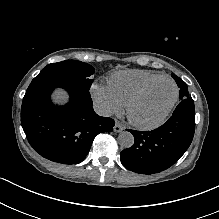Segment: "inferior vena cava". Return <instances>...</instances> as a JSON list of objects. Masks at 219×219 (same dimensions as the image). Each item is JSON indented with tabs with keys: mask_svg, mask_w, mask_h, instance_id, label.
I'll list each match as a JSON object with an SVG mask.
<instances>
[{
	"mask_svg": "<svg viewBox=\"0 0 219 219\" xmlns=\"http://www.w3.org/2000/svg\"><path fill=\"white\" fill-rule=\"evenodd\" d=\"M93 107H94L95 112L100 116H111L112 115V111L110 110V108L103 103H95Z\"/></svg>",
	"mask_w": 219,
	"mask_h": 219,
	"instance_id": "inferior-vena-cava-1",
	"label": "inferior vena cava"
}]
</instances>
